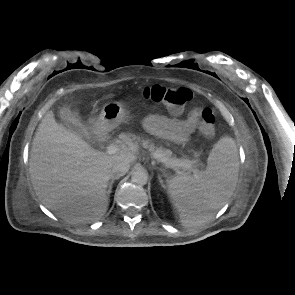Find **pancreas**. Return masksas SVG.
Returning a JSON list of instances; mask_svg holds the SVG:
<instances>
[{"label": "pancreas", "mask_w": 295, "mask_h": 295, "mask_svg": "<svg viewBox=\"0 0 295 295\" xmlns=\"http://www.w3.org/2000/svg\"><path fill=\"white\" fill-rule=\"evenodd\" d=\"M131 137H132V140H135L136 139V137L134 135H131ZM141 142H142V146L144 148H149V150L152 151L153 153L160 154V155H162V156H164V157H166L168 159H172V160H176L177 159L175 157H172V152L169 149H164V148H156L155 149V146L153 144H149L148 141H144L143 140ZM180 160L190 161L189 159H180ZM195 167H196V165L193 162V164H192L191 167H189V168L182 167V168L184 170H187L188 172H190V171L194 170Z\"/></svg>", "instance_id": "pancreas-1"}]
</instances>
